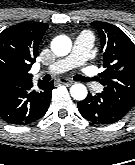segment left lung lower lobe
Returning a JSON list of instances; mask_svg holds the SVG:
<instances>
[{
	"label": "left lung lower lobe",
	"mask_w": 135,
	"mask_h": 165,
	"mask_svg": "<svg viewBox=\"0 0 135 165\" xmlns=\"http://www.w3.org/2000/svg\"><path fill=\"white\" fill-rule=\"evenodd\" d=\"M80 113L93 123L110 124L122 119L130 109L121 105L107 93L91 95L78 103Z\"/></svg>",
	"instance_id": "left-lung-lower-lobe-1"
}]
</instances>
